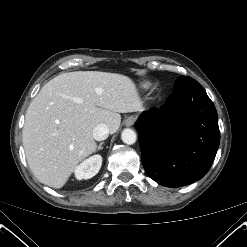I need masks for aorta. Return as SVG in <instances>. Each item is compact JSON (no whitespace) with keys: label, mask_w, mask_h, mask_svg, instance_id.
<instances>
[{"label":"aorta","mask_w":247,"mask_h":247,"mask_svg":"<svg viewBox=\"0 0 247 247\" xmlns=\"http://www.w3.org/2000/svg\"><path fill=\"white\" fill-rule=\"evenodd\" d=\"M136 138V133L130 128L124 129L121 133V139L125 144H134L136 142Z\"/></svg>","instance_id":"762f6f07"}]
</instances>
